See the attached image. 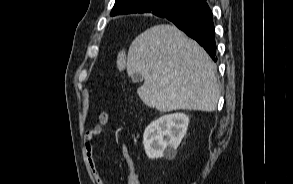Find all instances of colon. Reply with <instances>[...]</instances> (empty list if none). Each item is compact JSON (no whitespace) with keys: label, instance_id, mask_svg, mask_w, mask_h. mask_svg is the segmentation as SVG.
<instances>
[{"label":"colon","instance_id":"5ec220e1","mask_svg":"<svg viewBox=\"0 0 293 184\" xmlns=\"http://www.w3.org/2000/svg\"><path fill=\"white\" fill-rule=\"evenodd\" d=\"M117 66L120 70H124L126 68L127 59L126 55L123 51H118L116 55Z\"/></svg>","mask_w":293,"mask_h":184}]
</instances>
